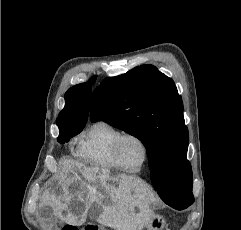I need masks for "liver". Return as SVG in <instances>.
I'll return each instance as SVG.
<instances>
[{"mask_svg": "<svg viewBox=\"0 0 241 230\" xmlns=\"http://www.w3.org/2000/svg\"><path fill=\"white\" fill-rule=\"evenodd\" d=\"M69 170L71 175L62 183L63 201L50 193H44L40 199V206H51L54 216L76 225L85 222L88 210L95 203L102 209L97 222L103 226L115 230H142L151 222L154 213L149 205L153 198L148 189L135 183L132 177L111 176L107 168L86 167L78 162H71ZM115 181H118L117 187L111 184ZM73 184H80L81 191H75ZM70 200L83 204L82 213L75 215L68 209L66 202Z\"/></svg>", "mask_w": 241, "mask_h": 230, "instance_id": "6515ba94", "label": "liver"}]
</instances>
